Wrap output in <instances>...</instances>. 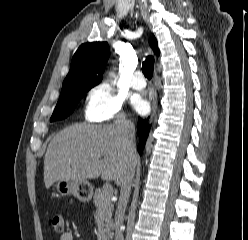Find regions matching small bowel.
<instances>
[{"instance_id":"small-bowel-1","label":"small bowel","mask_w":248,"mask_h":240,"mask_svg":"<svg viewBox=\"0 0 248 240\" xmlns=\"http://www.w3.org/2000/svg\"><path fill=\"white\" fill-rule=\"evenodd\" d=\"M59 240H74V234L70 230H65L61 233Z\"/></svg>"}]
</instances>
